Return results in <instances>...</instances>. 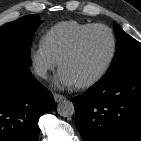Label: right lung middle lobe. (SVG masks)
<instances>
[{
    "label": "right lung middle lobe",
    "instance_id": "dd1d6c3e",
    "mask_svg": "<svg viewBox=\"0 0 141 141\" xmlns=\"http://www.w3.org/2000/svg\"><path fill=\"white\" fill-rule=\"evenodd\" d=\"M41 23L38 15H27L0 27V69L31 66V42Z\"/></svg>",
    "mask_w": 141,
    "mask_h": 141
}]
</instances>
